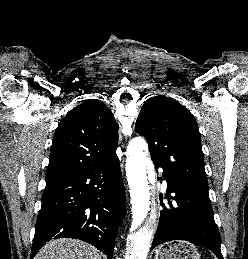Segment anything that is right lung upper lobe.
Returning a JSON list of instances; mask_svg holds the SVG:
<instances>
[{"label": "right lung upper lobe", "mask_w": 248, "mask_h": 259, "mask_svg": "<svg viewBox=\"0 0 248 259\" xmlns=\"http://www.w3.org/2000/svg\"><path fill=\"white\" fill-rule=\"evenodd\" d=\"M118 125L108 107L88 100L69 111L54 134L46 178L108 162L118 147Z\"/></svg>", "instance_id": "obj_1"}]
</instances>
